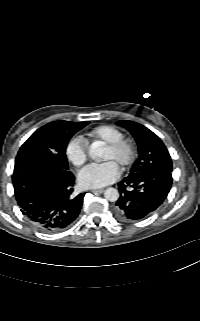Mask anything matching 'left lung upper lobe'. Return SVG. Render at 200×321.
<instances>
[{
    "label": "left lung upper lobe",
    "instance_id": "5c2ea615",
    "mask_svg": "<svg viewBox=\"0 0 200 321\" xmlns=\"http://www.w3.org/2000/svg\"><path fill=\"white\" fill-rule=\"evenodd\" d=\"M116 124L126 128L134 136L138 145L139 157L132 165L130 173L154 169L172 171L170 154L156 134L133 121L121 120Z\"/></svg>",
    "mask_w": 200,
    "mask_h": 321
}]
</instances>
